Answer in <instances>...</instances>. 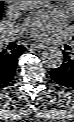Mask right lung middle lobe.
Masks as SVG:
<instances>
[{
    "label": "right lung middle lobe",
    "mask_w": 74,
    "mask_h": 122,
    "mask_svg": "<svg viewBox=\"0 0 74 122\" xmlns=\"http://www.w3.org/2000/svg\"><path fill=\"white\" fill-rule=\"evenodd\" d=\"M2 7H3V1H0V19H1V15H2Z\"/></svg>",
    "instance_id": "dd1d6c3e"
}]
</instances>
